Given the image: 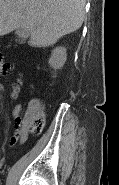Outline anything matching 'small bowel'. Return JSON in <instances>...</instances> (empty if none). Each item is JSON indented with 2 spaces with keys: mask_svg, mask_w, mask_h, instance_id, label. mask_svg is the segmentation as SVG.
Wrapping results in <instances>:
<instances>
[{
  "mask_svg": "<svg viewBox=\"0 0 119 185\" xmlns=\"http://www.w3.org/2000/svg\"><path fill=\"white\" fill-rule=\"evenodd\" d=\"M13 66L11 64H2L1 67V72L2 74H6L9 70H11ZM23 87V81L20 76H18L13 85H12V90L10 93L11 98L16 99L19 97ZM38 110V104L36 102H33L29 105L27 111L25 112L23 118H21L22 114V106L21 105H16L13 111V115L17 121V128L14 133V135L11 137L10 143L11 144H16L20 143L23 144L26 142L29 134V125H28V120L26 117L27 113H34Z\"/></svg>",
  "mask_w": 119,
  "mask_h": 185,
  "instance_id": "obj_1",
  "label": "small bowel"
}]
</instances>
